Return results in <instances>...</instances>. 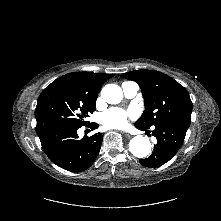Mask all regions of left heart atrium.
<instances>
[{
  "label": "left heart atrium",
  "mask_w": 221,
  "mask_h": 221,
  "mask_svg": "<svg viewBox=\"0 0 221 221\" xmlns=\"http://www.w3.org/2000/svg\"><path fill=\"white\" fill-rule=\"evenodd\" d=\"M135 117L132 109L111 108L102 114L101 123L107 128H123Z\"/></svg>",
  "instance_id": "1"
}]
</instances>
